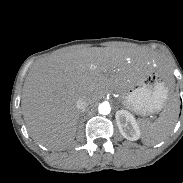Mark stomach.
<instances>
[{
    "label": "stomach",
    "mask_w": 183,
    "mask_h": 183,
    "mask_svg": "<svg viewBox=\"0 0 183 183\" xmlns=\"http://www.w3.org/2000/svg\"><path fill=\"white\" fill-rule=\"evenodd\" d=\"M169 87L153 64L142 68L121 93L124 106L140 115L160 111L168 100Z\"/></svg>",
    "instance_id": "stomach-1"
}]
</instances>
